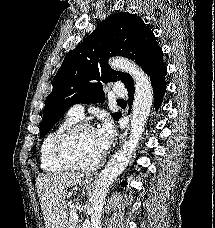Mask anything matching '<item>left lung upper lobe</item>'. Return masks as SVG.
<instances>
[{
  "mask_svg": "<svg viewBox=\"0 0 215 228\" xmlns=\"http://www.w3.org/2000/svg\"><path fill=\"white\" fill-rule=\"evenodd\" d=\"M161 50L144 21L128 12L115 13L102 21L75 49L69 51L53 79V89L46 99L40 137L50 131L69 107L78 103H103L102 83L120 80L129 89L132 77L111 69V56L135 60L146 72ZM118 113L112 116L118 120Z\"/></svg>",
  "mask_w": 215,
  "mask_h": 228,
  "instance_id": "obj_1",
  "label": "left lung upper lobe"
}]
</instances>
